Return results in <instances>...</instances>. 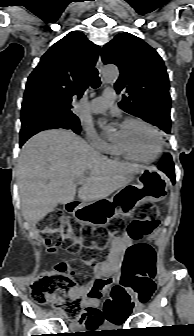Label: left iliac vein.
Segmentation results:
<instances>
[{
    "label": "left iliac vein",
    "instance_id": "obj_1",
    "mask_svg": "<svg viewBox=\"0 0 194 336\" xmlns=\"http://www.w3.org/2000/svg\"><path fill=\"white\" fill-rule=\"evenodd\" d=\"M140 310H141V307L137 306V307H136V311L138 312V311H140Z\"/></svg>",
    "mask_w": 194,
    "mask_h": 336
}]
</instances>
